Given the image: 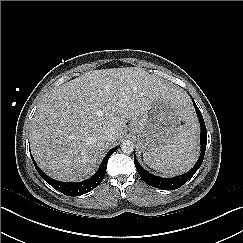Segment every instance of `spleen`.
I'll use <instances>...</instances> for the list:
<instances>
[{
	"label": "spleen",
	"instance_id": "1",
	"mask_svg": "<svg viewBox=\"0 0 243 243\" xmlns=\"http://www.w3.org/2000/svg\"><path fill=\"white\" fill-rule=\"evenodd\" d=\"M196 132L190 123L180 126L167 146L156 153L144 154V162L165 174L175 175L189 170L196 160Z\"/></svg>",
	"mask_w": 243,
	"mask_h": 243
}]
</instances>
